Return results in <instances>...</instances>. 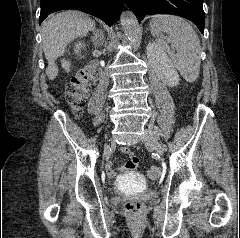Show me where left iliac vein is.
Segmentation results:
<instances>
[{"label":"left iliac vein","instance_id":"obj_1","mask_svg":"<svg viewBox=\"0 0 240 238\" xmlns=\"http://www.w3.org/2000/svg\"><path fill=\"white\" fill-rule=\"evenodd\" d=\"M143 143L147 146L158 152L159 154H164L166 151L167 147L163 148L162 146H159V142L157 140V135L155 131L151 128L145 129V133L143 136Z\"/></svg>","mask_w":240,"mask_h":238}]
</instances>
